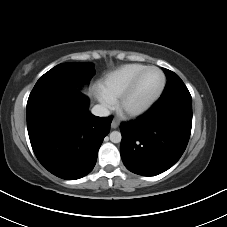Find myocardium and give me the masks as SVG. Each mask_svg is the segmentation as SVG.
<instances>
[{
	"instance_id": "myocardium-1",
	"label": "myocardium",
	"mask_w": 227,
	"mask_h": 227,
	"mask_svg": "<svg viewBox=\"0 0 227 227\" xmlns=\"http://www.w3.org/2000/svg\"><path fill=\"white\" fill-rule=\"evenodd\" d=\"M152 69L157 70L158 72H160V74L162 76V83H161L160 88L147 101H145V102H143V103H141L139 105H135V106L130 105V99L132 98L133 94L135 93V91H136V89L138 87V84H139L141 78L143 77V75L147 71L152 70ZM166 82H167L166 76H165V73L163 72L162 69H160L157 66H146L143 70H141L136 75V77L133 79V81L131 82V84L129 85V87L121 95L120 100H119V109H120V111L122 113H124L125 115L129 116V117H137V116H140V115L144 114L161 97V95L163 94V92L165 90Z\"/></svg>"
}]
</instances>
